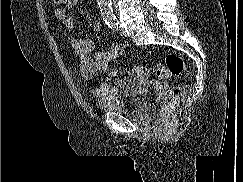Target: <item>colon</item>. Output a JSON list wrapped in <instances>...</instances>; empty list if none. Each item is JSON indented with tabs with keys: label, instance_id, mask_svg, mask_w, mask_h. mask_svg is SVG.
Listing matches in <instances>:
<instances>
[{
	"label": "colon",
	"instance_id": "5ec220e1",
	"mask_svg": "<svg viewBox=\"0 0 243 182\" xmlns=\"http://www.w3.org/2000/svg\"><path fill=\"white\" fill-rule=\"evenodd\" d=\"M58 5H63L68 0H53ZM185 69L184 60L176 53H169L165 56L164 62L159 64L156 69V74L160 77L179 76ZM128 73L138 80L149 79L153 71L144 66H135L128 70ZM183 87L175 86L167 91L160 92L157 101L159 105V115L165 117L170 112L173 104L182 95Z\"/></svg>",
	"mask_w": 243,
	"mask_h": 182
}]
</instances>
